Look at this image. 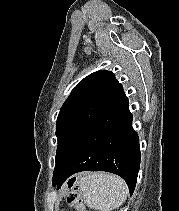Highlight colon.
Returning a JSON list of instances; mask_svg holds the SVG:
<instances>
[{"instance_id":"obj_1","label":"colon","mask_w":179,"mask_h":211,"mask_svg":"<svg viewBox=\"0 0 179 211\" xmlns=\"http://www.w3.org/2000/svg\"><path fill=\"white\" fill-rule=\"evenodd\" d=\"M67 191L68 203L74 205L80 211L84 210V205L81 199V190L75 178L69 180Z\"/></svg>"}]
</instances>
